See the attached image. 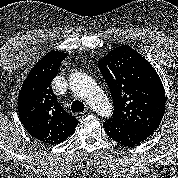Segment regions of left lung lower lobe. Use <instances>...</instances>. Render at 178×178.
Wrapping results in <instances>:
<instances>
[{"label": "left lung lower lobe", "mask_w": 178, "mask_h": 178, "mask_svg": "<svg viewBox=\"0 0 178 178\" xmlns=\"http://www.w3.org/2000/svg\"><path fill=\"white\" fill-rule=\"evenodd\" d=\"M106 133L121 145L133 146L147 139L157 129L148 125L108 119L103 123Z\"/></svg>", "instance_id": "0a47b994"}]
</instances>
